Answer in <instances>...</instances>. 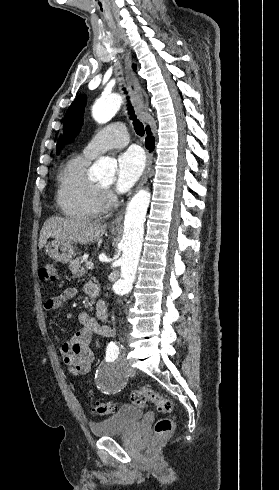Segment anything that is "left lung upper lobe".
<instances>
[{
	"label": "left lung upper lobe",
	"instance_id": "obj_1",
	"mask_svg": "<svg viewBox=\"0 0 279 490\" xmlns=\"http://www.w3.org/2000/svg\"><path fill=\"white\" fill-rule=\"evenodd\" d=\"M85 103V95H80L72 102L71 106L68 108L64 117L63 144H57V151H60L65 142H71L74 137L79 133L83 121L82 116Z\"/></svg>",
	"mask_w": 279,
	"mask_h": 490
}]
</instances>
